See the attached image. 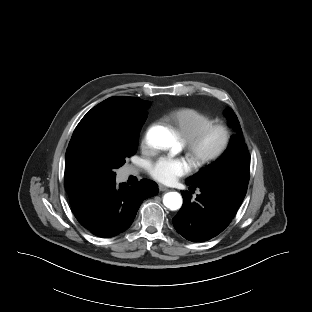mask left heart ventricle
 <instances>
[{
  "instance_id": "obj_1",
  "label": "left heart ventricle",
  "mask_w": 312,
  "mask_h": 312,
  "mask_svg": "<svg viewBox=\"0 0 312 312\" xmlns=\"http://www.w3.org/2000/svg\"><path fill=\"white\" fill-rule=\"evenodd\" d=\"M220 142V134L214 133L212 134L203 145V152H210L214 150Z\"/></svg>"
}]
</instances>
